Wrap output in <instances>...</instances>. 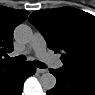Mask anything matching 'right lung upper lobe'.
Segmentation results:
<instances>
[{
  "label": "right lung upper lobe",
  "mask_w": 95,
  "mask_h": 95,
  "mask_svg": "<svg viewBox=\"0 0 95 95\" xmlns=\"http://www.w3.org/2000/svg\"><path fill=\"white\" fill-rule=\"evenodd\" d=\"M28 12L0 6V83L12 75L21 64L8 62L2 56L13 51V31L27 19Z\"/></svg>",
  "instance_id": "obj_1"
}]
</instances>
